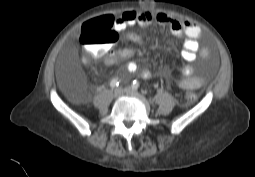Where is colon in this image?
<instances>
[{"mask_svg":"<svg viewBox=\"0 0 255 177\" xmlns=\"http://www.w3.org/2000/svg\"><path fill=\"white\" fill-rule=\"evenodd\" d=\"M82 39L85 45L108 48L116 40L111 25L105 16L89 20L82 26ZM188 101H194L196 94L190 92L186 95Z\"/></svg>","mask_w":255,"mask_h":177,"instance_id":"1","label":"colon"}]
</instances>
